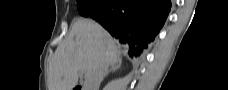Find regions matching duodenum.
Segmentation results:
<instances>
[{
  "mask_svg": "<svg viewBox=\"0 0 228 90\" xmlns=\"http://www.w3.org/2000/svg\"><path fill=\"white\" fill-rule=\"evenodd\" d=\"M74 90H84V88L82 86L78 85L74 88Z\"/></svg>",
  "mask_w": 228,
  "mask_h": 90,
  "instance_id": "obj_1",
  "label": "duodenum"
}]
</instances>
